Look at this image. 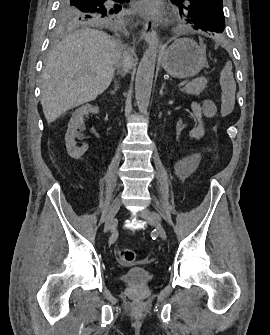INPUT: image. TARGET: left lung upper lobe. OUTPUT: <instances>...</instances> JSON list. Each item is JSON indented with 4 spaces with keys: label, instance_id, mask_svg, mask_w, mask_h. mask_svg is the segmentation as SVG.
<instances>
[{
    "label": "left lung upper lobe",
    "instance_id": "1",
    "mask_svg": "<svg viewBox=\"0 0 270 335\" xmlns=\"http://www.w3.org/2000/svg\"><path fill=\"white\" fill-rule=\"evenodd\" d=\"M187 15L195 29L223 33L225 20L222 0H171Z\"/></svg>",
    "mask_w": 270,
    "mask_h": 335
}]
</instances>
